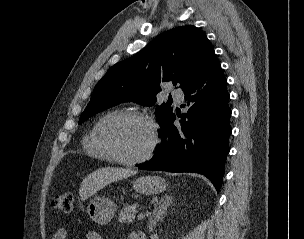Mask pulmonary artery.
I'll list each match as a JSON object with an SVG mask.
<instances>
[{"instance_id":"obj_1","label":"pulmonary artery","mask_w":304,"mask_h":239,"mask_svg":"<svg viewBox=\"0 0 304 239\" xmlns=\"http://www.w3.org/2000/svg\"><path fill=\"white\" fill-rule=\"evenodd\" d=\"M171 94L177 102H181L184 98V94L181 90H173Z\"/></svg>"}]
</instances>
